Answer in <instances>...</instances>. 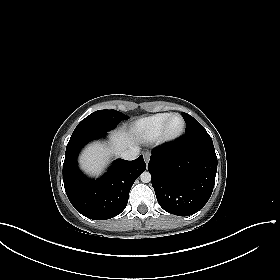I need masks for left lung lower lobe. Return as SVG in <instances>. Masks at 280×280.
I'll return each mask as SVG.
<instances>
[{
    "label": "left lung lower lobe",
    "instance_id": "1",
    "mask_svg": "<svg viewBox=\"0 0 280 280\" xmlns=\"http://www.w3.org/2000/svg\"><path fill=\"white\" fill-rule=\"evenodd\" d=\"M148 170L165 211L178 216L198 212L215 184L217 157L210 135L187 134L153 149Z\"/></svg>",
    "mask_w": 280,
    "mask_h": 280
}]
</instances>
